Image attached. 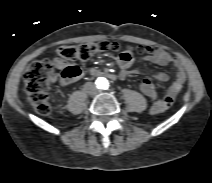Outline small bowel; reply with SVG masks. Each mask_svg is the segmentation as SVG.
I'll list each match as a JSON object with an SVG mask.
<instances>
[{
  "label": "small bowel",
  "mask_w": 212,
  "mask_h": 183,
  "mask_svg": "<svg viewBox=\"0 0 212 183\" xmlns=\"http://www.w3.org/2000/svg\"><path fill=\"white\" fill-rule=\"evenodd\" d=\"M146 62L153 63L159 66H166L167 64L172 63L176 70L175 79L172 81L171 85L169 86L166 95L162 99L154 102V104L151 107L152 114H159L169 109L171 105L174 103L176 97L178 96V94L183 88V85L186 80V74L182 66V63L178 59L172 58L163 49H157L153 55H148L143 57L140 60L139 64H144ZM133 63H134V58L132 53L130 52L124 51L118 57V65L122 71H127L129 68L132 67ZM59 69L62 70V67H60ZM81 77H82V72L79 69V74L74 79H66L61 76L60 84L61 86L66 87L71 82L78 80ZM153 78L155 79V81L159 83H165L169 79L168 75L165 72H156L155 74H153ZM144 80H148V79H144Z\"/></svg>",
  "instance_id": "1"
}]
</instances>
